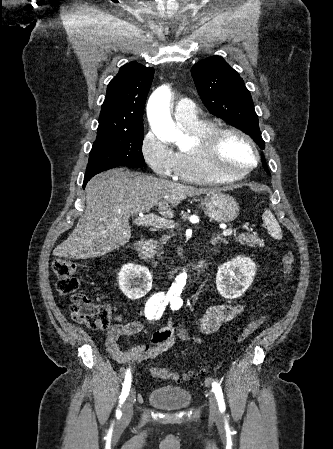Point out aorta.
Wrapping results in <instances>:
<instances>
[{"label":"aorta","mask_w":333,"mask_h":449,"mask_svg":"<svg viewBox=\"0 0 333 449\" xmlns=\"http://www.w3.org/2000/svg\"><path fill=\"white\" fill-rule=\"evenodd\" d=\"M170 98V88L167 85L159 87L149 99L147 116L152 130L158 138L181 145L187 140V137L172 121ZM186 280L187 274L185 272L180 273L172 285L171 292L177 295L182 294Z\"/></svg>","instance_id":"aorta-1"}]
</instances>
